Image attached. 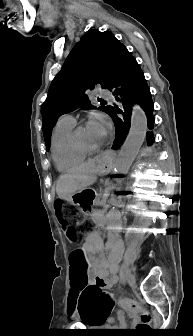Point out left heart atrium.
I'll list each match as a JSON object with an SVG mask.
<instances>
[{"mask_svg":"<svg viewBox=\"0 0 193 336\" xmlns=\"http://www.w3.org/2000/svg\"><path fill=\"white\" fill-rule=\"evenodd\" d=\"M88 128L102 141L110 129V122L106 116L95 114L89 121Z\"/></svg>","mask_w":193,"mask_h":336,"instance_id":"1","label":"left heart atrium"}]
</instances>
